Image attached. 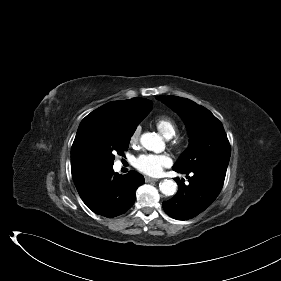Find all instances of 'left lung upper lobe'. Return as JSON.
Masks as SVG:
<instances>
[{"label":"left lung upper lobe","mask_w":281,"mask_h":281,"mask_svg":"<svg viewBox=\"0 0 281 281\" xmlns=\"http://www.w3.org/2000/svg\"><path fill=\"white\" fill-rule=\"evenodd\" d=\"M185 122L190 138L188 149L173 168L194 170L204 166L227 168L231 148L222 123L206 108L177 96H158Z\"/></svg>","instance_id":"obj_1"}]
</instances>
